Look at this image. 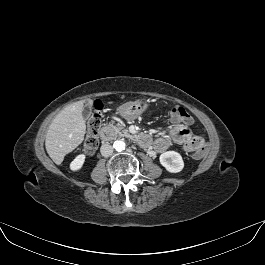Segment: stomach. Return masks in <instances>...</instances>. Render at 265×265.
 <instances>
[{
	"label": "stomach",
	"mask_w": 265,
	"mask_h": 265,
	"mask_svg": "<svg viewBox=\"0 0 265 265\" xmlns=\"http://www.w3.org/2000/svg\"><path fill=\"white\" fill-rule=\"evenodd\" d=\"M148 108V103L144 100L130 101L122 104L118 108V113L126 120H134Z\"/></svg>",
	"instance_id": "1"
}]
</instances>
